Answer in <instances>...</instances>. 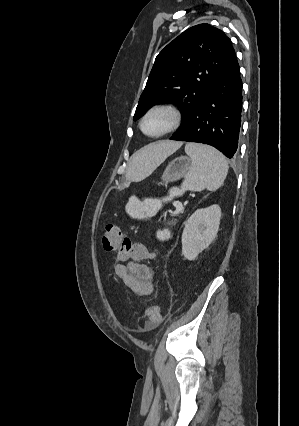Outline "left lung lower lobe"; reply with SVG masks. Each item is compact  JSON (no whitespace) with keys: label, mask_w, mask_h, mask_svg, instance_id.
Masks as SVG:
<instances>
[{"label":"left lung lower lobe","mask_w":299,"mask_h":426,"mask_svg":"<svg viewBox=\"0 0 299 426\" xmlns=\"http://www.w3.org/2000/svg\"><path fill=\"white\" fill-rule=\"evenodd\" d=\"M241 110L242 80L234 54L187 124L170 139L208 144L232 158L238 148Z\"/></svg>","instance_id":"1"}]
</instances>
